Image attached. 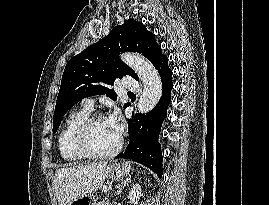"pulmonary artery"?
I'll use <instances>...</instances> for the list:
<instances>
[{"label":"pulmonary artery","mask_w":269,"mask_h":205,"mask_svg":"<svg viewBox=\"0 0 269 205\" xmlns=\"http://www.w3.org/2000/svg\"><path fill=\"white\" fill-rule=\"evenodd\" d=\"M122 83L123 87L128 90H137L139 86L138 82L132 77H124ZM81 105L84 109L91 112L94 108V99L85 98L82 100Z\"/></svg>","instance_id":"obj_1"}]
</instances>
